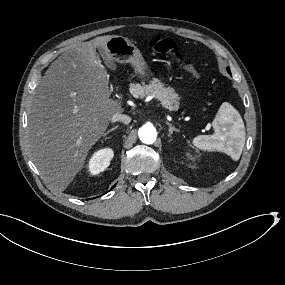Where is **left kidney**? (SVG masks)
Returning a JSON list of instances; mask_svg holds the SVG:
<instances>
[{
	"instance_id": "left-kidney-1",
	"label": "left kidney",
	"mask_w": 285,
	"mask_h": 285,
	"mask_svg": "<svg viewBox=\"0 0 285 285\" xmlns=\"http://www.w3.org/2000/svg\"><path fill=\"white\" fill-rule=\"evenodd\" d=\"M189 158H192L191 155L189 153L186 154Z\"/></svg>"
}]
</instances>
